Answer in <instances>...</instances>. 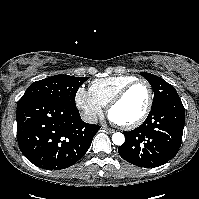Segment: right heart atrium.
I'll return each instance as SVG.
<instances>
[{
	"label": "right heart atrium",
	"mask_w": 199,
	"mask_h": 199,
	"mask_svg": "<svg viewBox=\"0 0 199 199\" xmlns=\"http://www.w3.org/2000/svg\"><path fill=\"white\" fill-rule=\"evenodd\" d=\"M75 100L87 121L95 122L102 114L103 106L85 88L80 87L77 90Z\"/></svg>",
	"instance_id": "right-heart-atrium-1"
}]
</instances>
